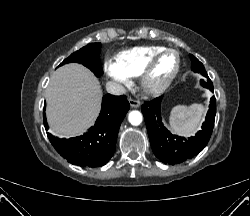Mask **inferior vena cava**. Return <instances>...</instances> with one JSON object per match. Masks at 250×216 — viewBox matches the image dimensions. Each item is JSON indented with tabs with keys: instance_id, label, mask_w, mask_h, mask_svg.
<instances>
[{
	"instance_id": "inferior-vena-cava-1",
	"label": "inferior vena cava",
	"mask_w": 250,
	"mask_h": 216,
	"mask_svg": "<svg viewBox=\"0 0 250 216\" xmlns=\"http://www.w3.org/2000/svg\"><path fill=\"white\" fill-rule=\"evenodd\" d=\"M106 90L108 93L112 95H123V94H126L127 92L124 86L114 81H109L106 84Z\"/></svg>"
}]
</instances>
